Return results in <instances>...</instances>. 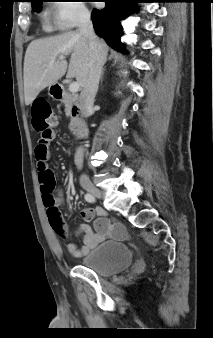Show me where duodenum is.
<instances>
[{
	"mask_svg": "<svg viewBox=\"0 0 213 338\" xmlns=\"http://www.w3.org/2000/svg\"><path fill=\"white\" fill-rule=\"evenodd\" d=\"M52 95L53 98L56 100H61V99H66L69 102H71L72 108H71V113H72V121H71V126L74 131L79 136H85L86 135V124L81 118V107L79 105L78 98L73 95H69L66 92V89L62 85H55L52 88Z\"/></svg>",
	"mask_w": 213,
	"mask_h": 338,
	"instance_id": "duodenum-1",
	"label": "duodenum"
}]
</instances>
